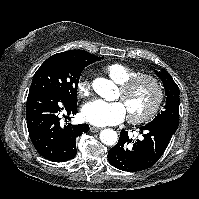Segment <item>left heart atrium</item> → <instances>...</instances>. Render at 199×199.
<instances>
[{"label": "left heart atrium", "instance_id": "left-heart-atrium-1", "mask_svg": "<svg viewBox=\"0 0 199 199\" xmlns=\"http://www.w3.org/2000/svg\"><path fill=\"white\" fill-rule=\"evenodd\" d=\"M122 102H106L100 99L86 103L82 108L85 121L96 126H108L121 122L126 116Z\"/></svg>", "mask_w": 199, "mask_h": 199}]
</instances>
